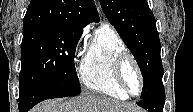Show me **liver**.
<instances>
[{"label": "liver", "instance_id": "6515ba94", "mask_svg": "<svg viewBox=\"0 0 193 112\" xmlns=\"http://www.w3.org/2000/svg\"><path fill=\"white\" fill-rule=\"evenodd\" d=\"M136 108L108 97L86 96L70 100H46L35 106L31 112H131Z\"/></svg>", "mask_w": 193, "mask_h": 112}]
</instances>
